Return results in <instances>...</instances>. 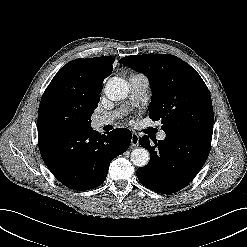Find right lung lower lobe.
Here are the masks:
<instances>
[{"instance_id":"1","label":"right lung lower lobe","mask_w":247,"mask_h":247,"mask_svg":"<svg viewBox=\"0 0 247 247\" xmlns=\"http://www.w3.org/2000/svg\"><path fill=\"white\" fill-rule=\"evenodd\" d=\"M131 131L117 128L102 135L91 127L71 130L38 121L39 149L51 173L66 187L89 190L101 185L112 159L124 153Z\"/></svg>"}]
</instances>
